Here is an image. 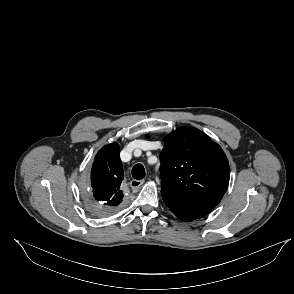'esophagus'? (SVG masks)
<instances>
[{"mask_svg": "<svg viewBox=\"0 0 294 294\" xmlns=\"http://www.w3.org/2000/svg\"><path fill=\"white\" fill-rule=\"evenodd\" d=\"M143 184H144V180H136V179H133V180L130 181V187L133 190L139 189Z\"/></svg>", "mask_w": 294, "mask_h": 294, "instance_id": "esophagus-1", "label": "esophagus"}]
</instances>
